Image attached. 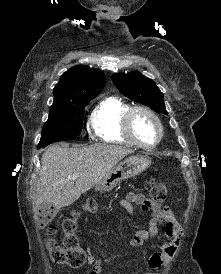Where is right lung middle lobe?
<instances>
[{"instance_id":"obj_1","label":"right lung middle lobe","mask_w":221,"mask_h":274,"mask_svg":"<svg viewBox=\"0 0 221 274\" xmlns=\"http://www.w3.org/2000/svg\"><path fill=\"white\" fill-rule=\"evenodd\" d=\"M97 95L53 103L42 130L38 149L53 142L70 140L78 136L82 130L85 106Z\"/></svg>"}]
</instances>
